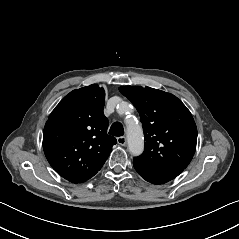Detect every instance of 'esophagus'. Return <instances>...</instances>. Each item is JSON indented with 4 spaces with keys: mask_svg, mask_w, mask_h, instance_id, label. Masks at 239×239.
Masks as SVG:
<instances>
[{
    "mask_svg": "<svg viewBox=\"0 0 239 239\" xmlns=\"http://www.w3.org/2000/svg\"><path fill=\"white\" fill-rule=\"evenodd\" d=\"M126 142H127V140H126V137H124V136L117 138V143H118L119 145L125 146V145H126Z\"/></svg>",
    "mask_w": 239,
    "mask_h": 239,
    "instance_id": "1",
    "label": "esophagus"
}]
</instances>
